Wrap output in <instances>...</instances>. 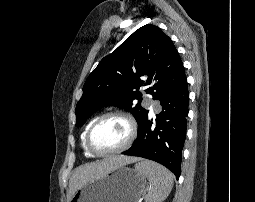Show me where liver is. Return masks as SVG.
I'll list each match as a JSON object with an SVG mask.
<instances>
[{
  "label": "liver",
  "mask_w": 255,
  "mask_h": 202,
  "mask_svg": "<svg viewBox=\"0 0 255 202\" xmlns=\"http://www.w3.org/2000/svg\"><path fill=\"white\" fill-rule=\"evenodd\" d=\"M138 161L136 157L116 155L105 158L101 161L82 165L75 169L69 181V198H71L76 190L84 183L101 177L109 171L118 167L134 163Z\"/></svg>",
  "instance_id": "1"
}]
</instances>
